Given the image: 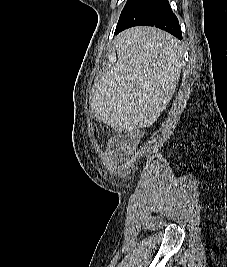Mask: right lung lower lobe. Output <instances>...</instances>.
Listing matches in <instances>:
<instances>
[{
    "mask_svg": "<svg viewBox=\"0 0 227 267\" xmlns=\"http://www.w3.org/2000/svg\"><path fill=\"white\" fill-rule=\"evenodd\" d=\"M139 25L155 26L182 39L181 27L167 0H128L115 34Z\"/></svg>",
    "mask_w": 227,
    "mask_h": 267,
    "instance_id": "right-lung-lower-lobe-1",
    "label": "right lung lower lobe"
}]
</instances>
